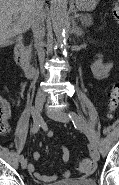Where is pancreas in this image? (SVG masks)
<instances>
[{"label": "pancreas", "mask_w": 119, "mask_h": 185, "mask_svg": "<svg viewBox=\"0 0 119 185\" xmlns=\"http://www.w3.org/2000/svg\"><path fill=\"white\" fill-rule=\"evenodd\" d=\"M80 21L83 26L89 27L92 25V17L91 15L85 14V15H80Z\"/></svg>", "instance_id": "1"}]
</instances>
